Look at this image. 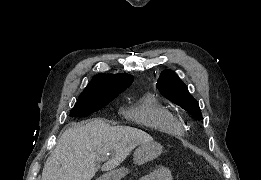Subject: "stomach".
Instances as JSON below:
<instances>
[{
	"instance_id": "stomach-1",
	"label": "stomach",
	"mask_w": 261,
	"mask_h": 180,
	"mask_svg": "<svg viewBox=\"0 0 261 180\" xmlns=\"http://www.w3.org/2000/svg\"><path fill=\"white\" fill-rule=\"evenodd\" d=\"M162 153V146L155 141H149L141 144L134 152V163L137 165H142L149 161L156 159ZM128 173L125 168H119L112 170L104 175H102L97 180H121Z\"/></svg>"
}]
</instances>
